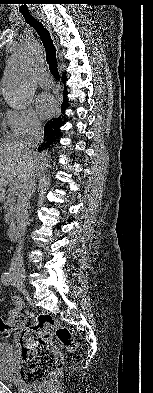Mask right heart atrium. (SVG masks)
Instances as JSON below:
<instances>
[{
	"mask_svg": "<svg viewBox=\"0 0 153 393\" xmlns=\"http://www.w3.org/2000/svg\"><path fill=\"white\" fill-rule=\"evenodd\" d=\"M4 124L10 136L23 137L38 131L40 120L30 107L8 110L4 116Z\"/></svg>",
	"mask_w": 153,
	"mask_h": 393,
	"instance_id": "right-heart-atrium-1",
	"label": "right heart atrium"
}]
</instances>
